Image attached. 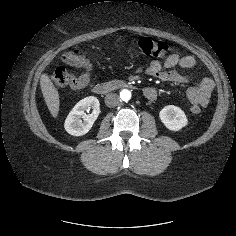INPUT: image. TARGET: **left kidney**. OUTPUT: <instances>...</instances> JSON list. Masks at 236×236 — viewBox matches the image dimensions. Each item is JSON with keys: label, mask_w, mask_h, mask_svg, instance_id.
<instances>
[{"label": "left kidney", "mask_w": 236, "mask_h": 236, "mask_svg": "<svg viewBox=\"0 0 236 236\" xmlns=\"http://www.w3.org/2000/svg\"><path fill=\"white\" fill-rule=\"evenodd\" d=\"M159 117L165 127L171 131H179L188 124L184 111L174 105L165 106L159 112Z\"/></svg>", "instance_id": "5707ae66"}]
</instances>
